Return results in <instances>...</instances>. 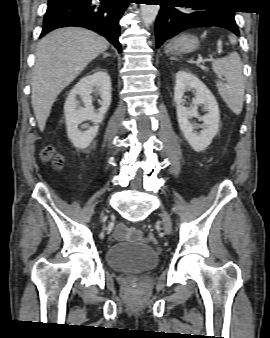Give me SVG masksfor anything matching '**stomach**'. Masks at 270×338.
I'll list each match as a JSON object with an SVG mask.
<instances>
[{
  "instance_id": "0dacf381",
  "label": "stomach",
  "mask_w": 270,
  "mask_h": 338,
  "mask_svg": "<svg viewBox=\"0 0 270 338\" xmlns=\"http://www.w3.org/2000/svg\"><path fill=\"white\" fill-rule=\"evenodd\" d=\"M199 39L190 34H180L174 37L166 46L165 53L170 55H181L192 53L199 48Z\"/></svg>"
}]
</instances>
